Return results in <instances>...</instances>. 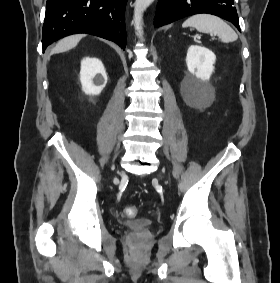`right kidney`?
Segmentation results:
<instances>
[{"instance_id":"1","label":"right kidney","mask_w":280,"mask_h":283,"mask_svg":"<svg viewBox=\"0 0 280 283\" xmlns=\"http://www.w3.org/2000/svg\"><path fill=\"white\" fill-rule=\"evenodd\" d=\"M80 81L87 95H99L107 83L103 63L97 58L86 57L81 61Z\"/></svg>"}]
</instances>
